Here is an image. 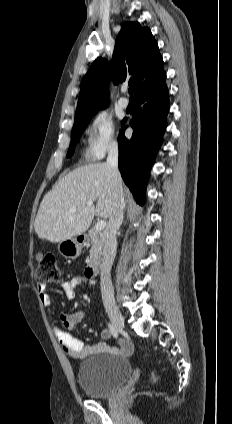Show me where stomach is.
Wrapping results in <instances>:
<instances>
[{
    "instance_id": "1",
    "label": "stomach",
    "mask_w": 232,
    "mask_h": 424,
    "mask_svg": "<svg viewBox=\"0 0 232 424\" xmlns=\"http://www.w3.org/2000/svg\"><path fill=\"white\" fill-rule=\"evenodd\" d=\"M83 238L77 236L59 242L58 250L65 258L76 259L82 251Z\"/></svg>"
}]
</instances>
